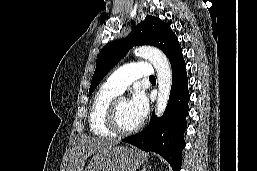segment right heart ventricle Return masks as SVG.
Returning <instances> with one entry per match:
<instances>
[{
    "instance_id": "e07e8e85",
    "label": "right heart ventricle",
    "mask_w": 257,
    "mask_h": 171,
    "mask_svg": "<svg viewBox=\"0 0 257 171\" xmlns=\"http://www.w3.org/2000/svg\"><path fill=\"white\" fill-rule=\"evenodd\" d=\"M119 92L103 84L95 93L88 113L90 131L98 137H112L115 134L106 124L107 110L110 103L119 96Z\"/></svg>"
}]
</instances>
